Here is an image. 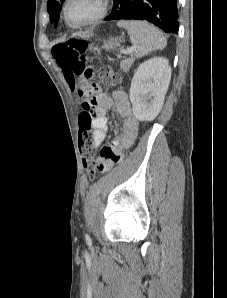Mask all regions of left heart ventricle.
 Here are the masks:
<instances>
[{
	"label": "left heart ventricle",
	"instance_id": "b2bd125f",
	"mask_svg": "<svg viewBox=\"0 0 227 298\" xmlns=\"http://www.w3.org/2000/svg\"><path fill=\"white\" fill-rule=\"evenodd\" d=\"M99 11V0H72L68 13L72 22L82 23Z\"/></svg>",
	"mask_w": 227,
	"mask_h": 298
}]
</instances>
